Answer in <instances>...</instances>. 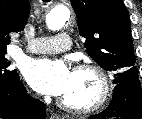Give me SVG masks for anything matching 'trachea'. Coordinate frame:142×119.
<instances>
[{"label": "trachea", "mask_w": 142, "mask_h": 119, "mask_svg": "<svg viewBox=\"0 0 142 119\" xmlns=\"http://www.w3.org/2000/svg\"><path fill=\"white\" fill-rule=\"evenodd\" d=\"M44 2L46 3V2H49V0H44Z\"/></svg>", "instance_id": "1"}]
</instances>
